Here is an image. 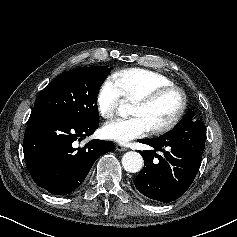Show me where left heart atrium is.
I'll return each mask as SVG.
<instances>
[{
	"instance_id": "1",
	"label": "left heart atrium",
	"mask_w": 237,
	"mask_h": 237,
	"mask_svg": "<svg viewBox=\"0 0 237 237\" xmlns=\"http://www.w3.org/2000/svg\"><path fill=\"white\" fill-rule=\"evenodd\" d=\"M149 131L148 125L140 116L118 118L106 123L103 127V133L106 138L121 144H126L133 139L143 137Z\"/></svg>"
}]
</instances>
